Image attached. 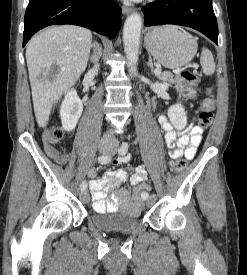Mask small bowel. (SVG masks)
<instances>
[{
  "instance_id": "small-bowel-1",
  "label": "small bowel",
  "mask_w": 247,
  "mask_h": 275,
  "mask_svg": "<svg viewBox=\"0 0 247 275\" xmlns=\"http://www.w3.org/2000/svg\"><path fill=\"white\" fill-rule=\"evenodd\" d=\"M159 123L164 131L166 146L170 149V158L178 159L184 157L191 160L197 148L202 141L203 129L200 126L190 124L183 131H177L172 123L164 115H160ZM45 151L47 155L56 163L64 165L68 162L69 157L60 154L52 145L46 144ZM130 159L129 156L117 159V163H126ZM90 190L93 198V209L96 212H116L137 214L143 207L141 198L131 195L126 189L121 188V184L127 180L125 171L116 169L104 173L97 178V170L92 168L88 171ZM147 179V172L143 166H137L130 182L135 187L144 183ZM112 192L108 200H105L106 193Z\"/></svg>"
}]
</instances>
